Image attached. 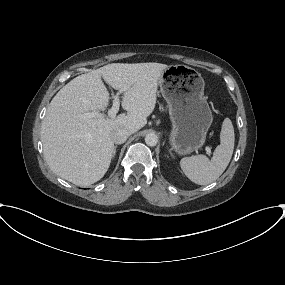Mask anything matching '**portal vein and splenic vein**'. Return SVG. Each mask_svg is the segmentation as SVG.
<instances>
[{"label":"portal vein and splenic vein","instance_id":"portal-vein-and-splenic-vein-1","mask_svg":"<svg viewBox=\"0 0 285 285\" xmlns=\"http://www.w3.org/2000/svg\"><path fill=\"white\" fill-rule=\"evenodd\" d=\"M121 91H119L116 95L113 96V105L111 107V109L108 111V117L109 118H115L118 110H119V106H120V100H119V95H120ZM106 115H104L103 113H99V112H88L85 113L83 115L84 118H94V117H105ZM206 152L208 155L211 154V149L209 147L206 148Z\"/></svg>","mask_w":285,"mask_h":285}]
</instances>
